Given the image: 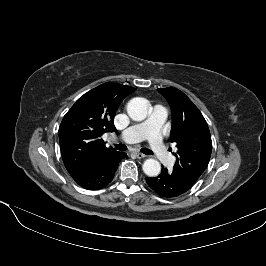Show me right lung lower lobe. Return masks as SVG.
<instances>
[{
	"label": "right lung lower lobe",
	"mask_w": 266,
	"mask_h": 266,
	"mask_svg": "<svg viewBox=\"0 0 266 266\" xmlns=\"http://www.w3.org/2000/svg\"><path fill=\"white\" fill-rule=\"evenodd\" d=\"M126 156V153L116 151L91 166L86 172L72 178L85 189H101L112 181L119 162Z\"/></svg>",
	"instance_id": "obj_1"
}]
</instances>
